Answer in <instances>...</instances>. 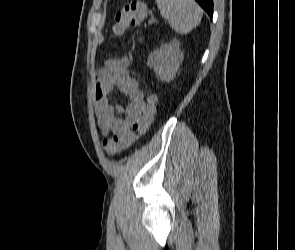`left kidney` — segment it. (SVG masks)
<instances>
[{"mask_svg": "<svg viewBox=\"0 0 295 250\" xmlns=\"http://www.w3.org/2000/svg\"><path fill=\"white\" fill-rule=\"evenodd\" d=\"M184 59L179 42L173 40L170 44L153 51L147 60V65L154 70L161 81L169 83Z\"/></svg>", "mask_w": 295, "mask_h": 250, "instance_id": "left-kidney-1", "label": "left kidney"}]
</instances>
